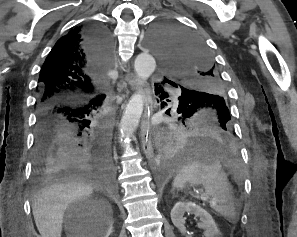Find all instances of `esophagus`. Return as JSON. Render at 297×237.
<instances>
[{
  "label": "esophagus",
  "mask_w": 297,
  "mask_h": 237,
  "mask_svg": "<svg viewBox=\"0 0 297 237\" xmlns=\"http://www.w3.org/2000/svg\"><path fill=\"white\" fill-rule=\"evenodd\" d=\"M125 80L130 85L132 90L139 89V82L137 78L133 75L127 74L125 76ZM150 115L151 109L149 106L146 105L144 114L141 121V130H140V137H141V144L143 152L145 153L146 157L150 160L153 157V148H152V141H151V127H150Z\"/></svg>",
  "instance_id": "34e87169"
}]
</instances>
